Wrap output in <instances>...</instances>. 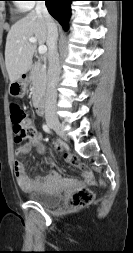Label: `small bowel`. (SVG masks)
Returning <instances> with one entry per match:
<instances>
[{"mask_svg":"<svg viewBox=\"0 0 133 253\" xmlns=\"http://www.w3.org/2000/svg\"><path fill=\"white\" fill-rule=\"evenodd\" d=\"M32 148H36L40 154H44L46 151L44 145L42 144V138L36 131L34 132V135L27 142L23 143L17 148L16 154L17 155L28 154ZM14 172H15L16 181L19 187L23 191H26V192L40 189L46 182V179L42 177H38V176L34 178L28 177L25 172L24 165L19 160L15 162ZM81 175L83 177L85 184H88V185L94 184L93 175L89 170H87L86 168H83Z\"/></svg>","mask_w":133,"mask_h":253,"instance_id":"small-bowel-1","label":"small bowel"}]
</instances>
